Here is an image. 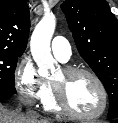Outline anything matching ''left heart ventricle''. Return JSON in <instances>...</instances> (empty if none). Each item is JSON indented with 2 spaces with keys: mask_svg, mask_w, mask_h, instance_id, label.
I'll return each instance as SVG.
<instances>
[{
  "mask_svg": "<svg viewBox=\"0 0 118 123\" xmlns=\"http://www.w3.org/2000/svg\"><path fill=\"white\" fill-rule=\"evenodd\" d=\"M51 82L63 87L65 98L75 111L81 114H94L100 109L101 93L89 76L66 77L61 70L51 79Z\"/></svg>",
  "mask_w": 118,
  "mask_h": 123,
  "instance_id": "obj_1",
  "label": "left heart ventricle"
}]
</instances>
